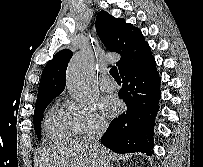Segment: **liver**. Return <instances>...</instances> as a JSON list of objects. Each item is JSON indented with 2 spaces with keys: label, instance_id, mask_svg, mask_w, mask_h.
I'll list each match as a JSON object with an SVG mask.
<instances>
[{
  "label": "liver",
  "instance_id": "6515ba94",
  "mask_svg": "<svg viewBox=\"0 0 203 167\" xmlns=\"http://www.w3.org/2000/svg\"><path fill=\"white\" fill-rule=\"evenodd\" d=\"M106 162V150L102 148ZM101 154L84 140L55 143L42 150L35 167H102ZM107 163V162H106Z\"/></svg>",
  "mask_w": 203,
  "mask_h": 167
}]
</instances>
